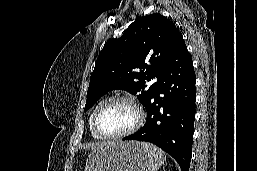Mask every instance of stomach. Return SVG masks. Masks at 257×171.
I'll return each instance as SVG.
<instances>
[{
	"label": "stomach",
	"instance_id": "1",
	"mask_svg": "<svg viewBox=\"0 0 257 171\" xmlns=\"http://www.w3.org/2000/svg\"><path fill=\"white\" fill-rule=\"evenodd\" d=\"M148 166V152L141 143L118 141L92 151L85 171H147Z\"/></svg>",
	"mask_w": 257,
	"mask_h": 171
}]
</instances>
